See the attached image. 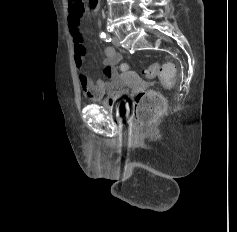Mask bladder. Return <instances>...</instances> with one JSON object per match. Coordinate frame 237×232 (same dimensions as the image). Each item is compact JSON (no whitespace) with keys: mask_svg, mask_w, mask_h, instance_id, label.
<instances>
[{"mask_svg":"<svg viewBox=\"0 0 237 232\" xmlns=\"http://www.w3.org/2000/svg\"><path fill=\"white\" fill-rule=\"evenodd\" d=\"M127 95V91L124 89L121 92V98L112 104L103 103V106L109 110H112L116 117L124 118L128 112L129 102L124 97Z\"/></svg>","mask_w":237,"mask_h":232,"instance_id":"obj_1","label":"bladder"}]
</instances>
